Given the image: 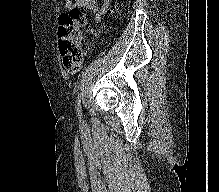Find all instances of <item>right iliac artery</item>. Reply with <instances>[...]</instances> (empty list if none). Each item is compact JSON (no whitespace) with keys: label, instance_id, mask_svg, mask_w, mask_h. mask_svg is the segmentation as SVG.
I'll return each instance as SVG.
<instances>
[{"label":"right iliac artery","instance_id":"1","mask_svg":"<svg viewBox=\"0 0 219 192\" xmlns=\"http://www.w3.org/2000/svg\"><path fill=\"white\" fill-rule=\"evenodd\" d=\"M77 111H78V116L81 119L82 118V113H81V107H80V100L78 101Z\"/></svg>","mask_w":219,"mask_h":192}]
</instances>
